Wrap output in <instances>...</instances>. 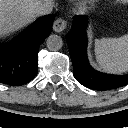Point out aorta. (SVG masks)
I'll use <instances>...</instances> for the list:
<instances>
[{
	"label": "aorta",
	"mask_w": 128,
	"mask_h": 128,
	"mask_svg": "<svg viewBox=\"0 0 128 128\" xmlns=\"http://www.w3.org/2000/svg\"><path fill=\"white\" fill-rule=\"evenodd\" d=\"M46 45L50 51H58L63 46V40L60 36L51 34L46 39Z\"/></svg>",
	"instance_id": "obj_1"
}]
</instances>
